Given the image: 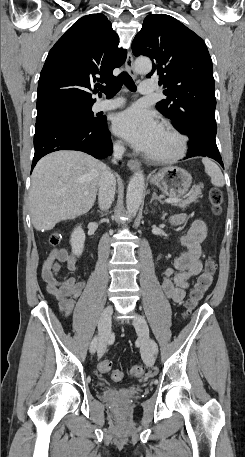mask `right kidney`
<instances>
[{
    "mask_svg": "<svg viewBox=\"0 0 245 457\" xmlns=\"http://www.w3.org/2000/svg\"><path fill=\"white\" fill-rule=\"evenodd\" d=\"M70 243L74 255L80 257L83 253L85 243V233L83 229H81V226H76V229H74L71 235Z\"/></svg>",
    "mask_w": 245,
    "mask_h": 457,
    "instance_id": "obj_1",
    "label": "right kidney"
}]
</instances>
